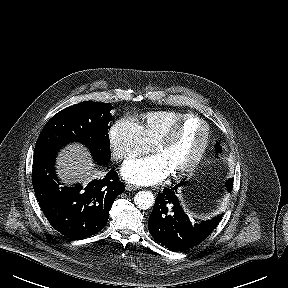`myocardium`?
<instances>
[{
	"mask_svg": "<svg viewBox=\"0 0 288 288\" xmlns=\"http://www.w3.org/2000/svg\"><path fill=\"white\" fill-rule=\"evenodd\" d=\"M191 120H198L204 124L205 131H206L204 143L199 153L197 154V156L193 159V161L189 165H187L181 172L171 174V178L174 180H182L190 176L204 159L209 149L210 142H211V129H210L209 123L204 118L198 115L190 114L184 117L183 119L177 121L176 123H174L160 137H158V139L153 144V151L163 146L169 145L174 140L175 136L177 135L179 130L182 128V126Z\"/></svg>",
	"mask_w": 288,
	"mask_h": 288,
	"instance_id": "obj_1",
	"label": "myocardium"
}]
</instances>
